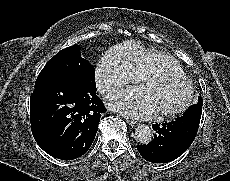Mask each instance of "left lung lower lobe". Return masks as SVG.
I'll use <instances>...</instances> for the list:
<instances>
[{"mask_svg":"<svg viewBox=\"0 0 230 181\" xmlns=\"http://www.w3.org/2000/svg\"><path fill=\"white\" fill-rule=\"evenodd\" d=\"M202 107L192 105L175 121L154 124L153 140L147 145H137L141 156L152 163H167L181 156L193 142L200 123ZM154 135V134H153Z\"/></svg>","mask_w":230,"mask_h":181,"instance_id":"left-lung-lower-lobe-1","label":"left lung lower lobe"}]
</instances>
